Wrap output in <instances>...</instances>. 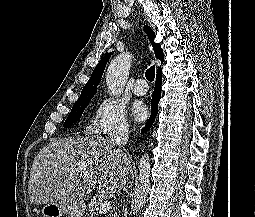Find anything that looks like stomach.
<instances>
[{"label":"stomach","instance_id":"obj_1","mask_svg":"<svg viewBox=\"0 0 255 217\" xmlns=\"http://www.w3.org/2000/svg\"><path fill=\"white\" fill-rule=\"evenodd\" d=\"M83 200L69 202H52L45 204L41 209L42 217H82L85 212Z\"/></svg>","mask_w":255,"mask_h":217}]
</instances>
